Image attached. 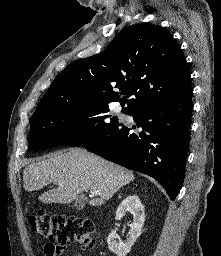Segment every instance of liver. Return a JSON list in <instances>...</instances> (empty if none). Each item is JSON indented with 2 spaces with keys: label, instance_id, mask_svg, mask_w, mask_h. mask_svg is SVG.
Instances as JSON below:
<instances>
[{
  "label": "liver",
  "instance_id": "liver-1",
  "mask_svg": "<svg viewBox=\"0 0 221 256\" xmlns=\"http://www.w3.org/2000/svg\"><path fill=\"white\" fill-rule=\"evenodd\" d=\"M133 180L131 171L80 148L31 163L23 173L25 191L40 190L50 183L58 185L39 197L45 204H68L83 191L95 189L99 198L89 204L101 206Z\"/></svg>",
  "mask_w": 221,
  "mask_h": 256
}]
</instances>
